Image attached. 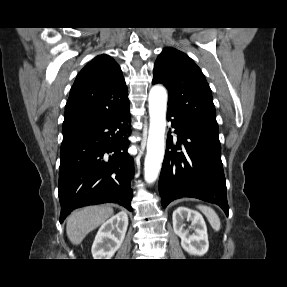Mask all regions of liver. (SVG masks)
<instances>
[{
    "instance_id": "6515ba94",
    "label": "liver",
    "mask_w": 287,
    "mask_h": 287,
    "mask_svg": "<svg viewBox=\"0 0 287 287\" xmlns=\"http://www.w3.org/2000/svg\"><path fill=\"white\" fill-rule=\"evenodd\" d=\"M113 215L111 206H89L74 211L67 219L66 232L69 240L78 245L86 235L102 225Z\"/></svg>"
}]
</instances>
